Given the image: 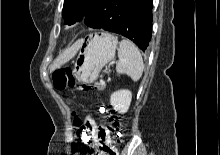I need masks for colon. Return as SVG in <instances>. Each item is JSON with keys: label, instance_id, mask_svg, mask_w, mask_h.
<instances>
[{"label": "colon", "instance_id": "obj_1", "mask_svg": "<svg viewBox=\"0 0 220 155\" xmlns=\"http://www.w3.org/2000/svg\"><path fill=\"white\" fill-rule=\"evenodd\" d=\"M53 85L56 90L64 92L71 88L85 89V85H80L76 82L73 75V70L70 67H63L55 70L52 74ZM101 125L96 135L95 141L91 144V135L85 123L80 119H75L76 144H91L88 150L83 155H117L116 145H120L122 133L118 132V123L116 117L111 114L107 109L100 108Z\"/></svg>", "mask_w": 220, "mask_h": 155}]
</instances>
